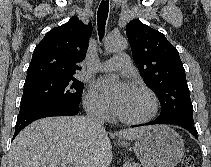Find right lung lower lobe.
<instances>
[{"label": "right lung lower lobe", "instance_id": "obj_1", "mask_svg": "<svg viewBox=\"0 0 211 167\" xmlns=\"http://www.w3.org/2000/svg\"><path fill=\"white\" fill-rule=\"evenodd\" d=\"M77 113H79V103H44L21 107L13 139L24 127L37 119L51 116H71Z\"/></svg>", "mask_w": 211, "mask_h": 167}]
</instances>
